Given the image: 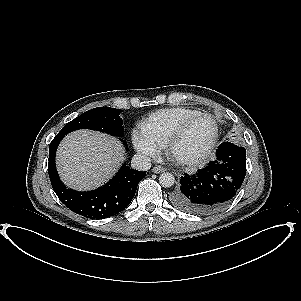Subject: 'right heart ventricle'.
<instances>
[{
    "label": "right heart ventricle",
    "instance_id": "e07e8e85",
    "mask_svg": "<svg viewBox=\"0 0 301 301\" xmlns=\"http://www.w3.org/2000/svg\"><path fill=\"white\" fill-rule=\"evenodd\" d=\"M200 113L186 107L157 110L141 123V131L159 147H164L169 136L186 119Z\"/></svg>",
    "mask_w": 301,
    "mask_h": 301
}]
</instances>
